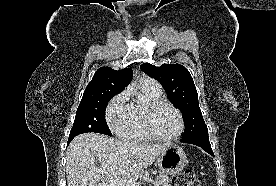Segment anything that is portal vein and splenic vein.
Returning <instances> with one entry per match:
<instances>
[{
	"instance_id": "1",
	"label": "portal vein and splenic vein",
	"mask_w": 276,
	"mask_h": 186,
	"mask_svg": "<svg viewBox=\"0 0 276 186\" xmlns=\"http://www.w3.org/2000/svg\"><path fill=\"white\" fill-rule=\"evenodd\" d=\"M107 186H139V184L132 181L122 182L118 180H113V181H110Z\"/></svg>"
}]
</instances>
